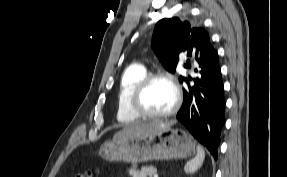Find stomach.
<instances>
[{
  "label": "stomach",
  "mask_w": 287,
  "mask_h": 177,
  "mask_svg": "<svg viewBox=\"0 0 287 177\" xmlns=\"http://www.w3.org/2000/svg\"><path fill=\"white\" fill-rule=\"evenodd\" d=\"M99 153L110 162L137 164L187 158L195 153V143L185 131L168 127L145 136L113 138L101 145Z\"/></svg>",
  "instance_id": "obj_1"
}]
</instances>
